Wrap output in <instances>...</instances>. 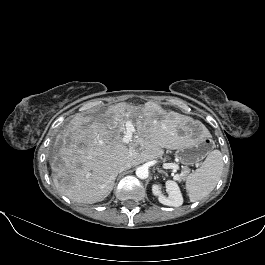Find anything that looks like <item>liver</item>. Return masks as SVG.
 Here are the masks:
<instances>
[{"mask_svg":"<svg viewBox=\"0 0 265 265\" xmlns=\"http://www.w3.org/2000/svg\"><path fill=\"white\" fill-rule=\"evenodd\" d=\"M134 116L136 131L124 143L126 123ZM191 121L155 104L143 107L140 114L126 103H118L95 117L76 115L56 138V155L62 163L57 164V156L53 157V183L74 202H100L113 189L118 163L128 160L136 166L161 157L163 148L184 147L190 140L185 125Z\"/></svg>","mask_w":265,"mask_h":265,"instance_id":"obj_1","label":"liver"}]
</instances>
